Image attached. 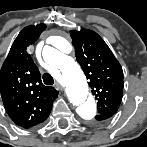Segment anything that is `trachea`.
I'll list each match as a JSON object with an SVG mask.
<instances>
[{
    "instance_id": "3493384b",
    "label": "trachea",
    "mask_w": 147,
    "mask_h": 147,
    "mask_svg": "<svg viewBox=\"0 0 147 147\" xmlns=\"http://www.w3.org/2000/svg\"><path fill=\"white\" fill-rule=\"evenodd\" d=\"M43 82H44L46 85H53V84H54V79H53V77L51 76V74H49V73H44V75H43Z\"/></svg>"
}]
</instances>
